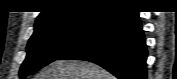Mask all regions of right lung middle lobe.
<instances>
[{"mask_svg": "<svg viewBox=\"0 0 177 79\" xmlns=\"http://www.w3.org/2000/svg\"><path fill=\"white\" fill-rule=\"evenodd\" d=\"M102 14L51 22L35 28L27 45V57L20 69V78L58 60L79 44L98 24Z\"/></svg>", "mask_w": 177, "mask_h": 79, "instance_id": "right-lung-middle-lobe-1", "label": "right lung middle lobe"}]
</instances>
